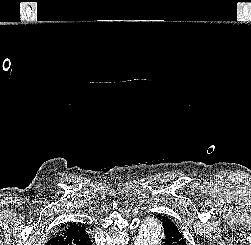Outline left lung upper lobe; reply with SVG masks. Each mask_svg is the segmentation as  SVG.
<instances>
[{
	"label": "left lung upper lobe",
	"mask_w": 251,
	"mask_h": 245,
	"mask_svg": "<svg viewBox=\"0 0 251 245\" xmlns=\"http://www.w3.org/2000/svg\"><path fill=\"white\" fill-rule=\"evenodd\" d=\"M167 221H170L172 224H174L170 219H167ZM162 222H163V220H162Z\"/></svg>",
	"instance_id": "5c2ea615"
}]
</instances>
